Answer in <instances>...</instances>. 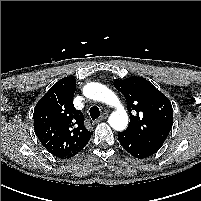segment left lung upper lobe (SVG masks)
Masks as SVG:
<instances>
[{
	"label": "left lung upper lobe",
	"instance_id": "1",
	"mask_svg": "<svg viewBox=\"0 0 201 201\" xmlns=\"http://www.w3.org/2000/svg\"><path fill=\"white\" fill-rule=\"evenodd\" d=\"M114 86L124 95L130 114L125 131L158 150L173 125L170 100L143 77L115 80Z\"/></svg>",
	"mask_w": 201,
	"mask_h": 201
}]
</instances>
